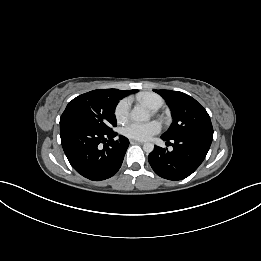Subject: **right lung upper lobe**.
<instances>
[{"label": "right lung upper lobe", "instance_id": "obj_1", "mask_svg": "<svg viewBox=\"0 0 261 261\" xmlns=\"http://www.w3.org/2000/svg\"><path fill=\"white\" fill-rule=\"evenodd\" d=\"M118 97H120V99H122L123 97L134 93L137 91V89H133V90H118V89H111Z\"/></svg>", "mask_w": 261, "mask_h": 261}]
</instances>
